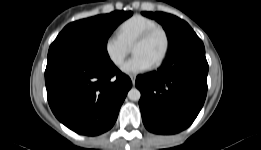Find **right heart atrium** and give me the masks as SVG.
<instances>
[{
    "label": "right heart atrium",
    "instance_id": "right-heart-atrium-1",
    "mask_svg": "<svg viewBox=\"0 0 261 150\" xmlns=\"http://www.w3.org/2000/svg\"><path fill=\"white\" fill-rule=\"evenodd\" d=\"M104 50L109 61L119 67L128 56L130 47L118 35L112 34L106 38Z\"/></svg>",
    "mask_w": 261,
    "mask_h": 150
}]
</instances>
